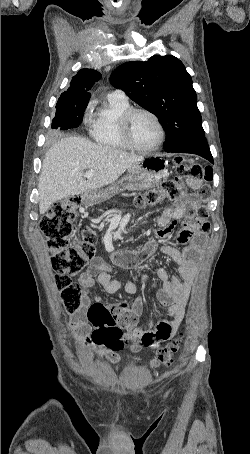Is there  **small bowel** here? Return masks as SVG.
<instances>
[{
	"label": "small bowel",
	"instance_id": "small-bowel-1",
	"mask_svg": "<svg viewBox=\"0 0 250 454\" xmlns=\"http://www.w3.org/2000/svg\"><path fill=\"white\" fill-rule=\"evenodd\" d=\"M188 183L192 189L199 188L201 184L196 179H189ZM195 206L196 201L193 194H185L170 208L166 209L158 219V224L161 228L157 231V237L165 238L171 234L177 221L183 218V229L178 234V242L187 243V246L183 250L172 246L162 247V251L177 263L179 277L170 278L167 271L163 268L157 270V276L162 282V286L157 292V297L160 304L168 308L170 319L159 322L155 328H135L140 342L152 349L158 348L162 342L171 339L185 316V306L197 272L199 257L207 242L205 233L200 230V221L193 213ZM157 249L158 241L152 239L139 251L114 253L113 261L118 265L137 264L152 255ZM95 278L111 294L120 290H125L127 293H135L137 290V286L132 282L122 284L118 280L112 279L109 266L100 257L91 259L87 271L82 273L79 278L80 284L83 286L82 305L73 315L71 321V326L77 339L87 345L92 344V328L87 319V310L91 304L89 287ZM142 280L147 282L148 277L143 276ZM95 301L100 303L98 297H95ZM107 308L118 317L125 314L130 315L136 322L142 313L143 305L140 299H136L131 305L119 303ZM97 355L112 362L119 360V356L115 352L102 347L97 349Z\"/></svg>",
	"mask_w": 250,
	"mask_h": 454
}]
</instances>
